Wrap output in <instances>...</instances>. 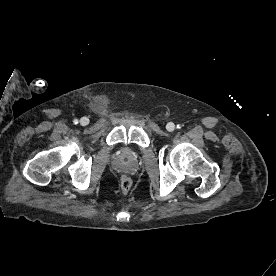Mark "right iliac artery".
<instances>
[{"label": "right iliac artery", "instance_id": "82829eb1", "mask_svg": "<svg viewBox=\"0 0 276 276\" xmlns=\"http://www.w3.org/2000/svg\"><path fill=\"white\" fill-rule=\"evenodd\" d=\"M78 122H79L78 119H74V120H73V123H74V124H78Z\"/></svg>", "mask_w": 276, "mask_h": 276}]
</instances>
